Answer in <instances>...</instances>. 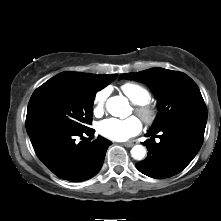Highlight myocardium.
<instances>
[{
    "mask_svg": "<svg viewBox=\"0 0 221 221\" xmlns=\"http://www.w3.org/2000/svg\"><path fill=\"white\" fill-rule=\"evenodd\" d=\"M135 112L148 125L152 124L157 118V110L148 103L136 104Z\"/></svg>",
    "mask_w": 221,
    "mask_h": 221,
    "instance_id": "f54148a6",
    "label": "myocardium"
}]
</instances>
